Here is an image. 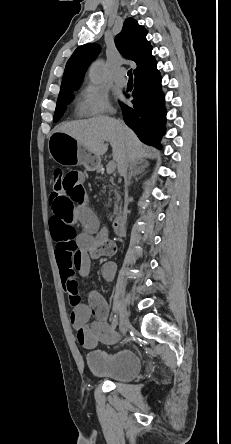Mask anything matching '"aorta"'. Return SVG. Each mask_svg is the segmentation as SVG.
<instances>
[{"label": "aorta", "mask_w": 231, "mask_h": 444, "mask_svg": "<svg viewBox=\"0 0 231 444\" xmlns=\"http://www.w3.org/2000/svg\"><path fill=\"white\" fill-rule=\"evenodd\" d=\"M104 71V62L102 60L97 61L91 68L89 79L92 84H99L102 80Z\"/></svg>", "instance_id": "762f6f07"}]
</instances>
